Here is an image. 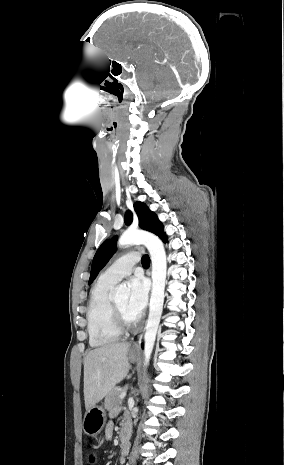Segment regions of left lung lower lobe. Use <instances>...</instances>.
I'll list each match as a JSON object with an SVG mask.
<instances>
[{"label":"left lung lower lobe","instance_id":"0a47b994","mask_svg":"<svg viewBox=\"0 0 284 465\" xmlns=\"http://www.w3.org/2000/svg\"><path fill=\"white\" fill-rule=\"evenodd\" d=\"M163 241L166 242V241H167V238L163 239Z\"/></svg>","mask_w":284,"mask_h":465}]
</instances>
